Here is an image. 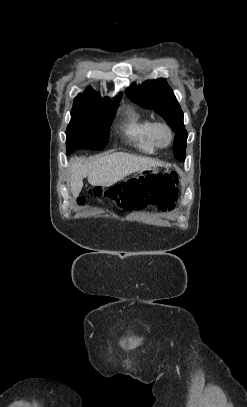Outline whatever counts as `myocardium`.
<instances>
[{
  "label": "myocardium",
  "mask_w": 247,
  "mask_h": 407,
  "mask_svg": "<svg viewBox=\"0 0 247 407\" xmlns=\"http://www.w3.org/2000/svg\"><path fill=\"white\" fill-rule=\"evenodd\" d=\"M164 131L167 134L168 140L166 143H163L160 137L161 132ZM173 130L171 126L166 122H155L153 127V139L157 147L159 148H166L168 147L173 141Z\"/></svg>",
  "instance_id": "obj_1"
}]
</instances>
